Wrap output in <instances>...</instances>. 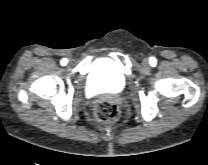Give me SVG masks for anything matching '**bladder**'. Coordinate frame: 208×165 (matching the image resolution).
Here are the masks:
<instances>
[{
    "instance_id": "1",
    "label": "bladder",
    "mask_w": 208,
    "mask_h": 165,
    "mask_svg": "<svg viewBox=\"0 0 208 165\" xmlns=\"http://www.w3.org/2000/svg\"><path fill=\"white\" fill-rule=\"evenodd\" d=\"M126 76L111 59L95 61L87 77V85L92 93H120L126 86Z\"/></svg>"
}]
</instances>
